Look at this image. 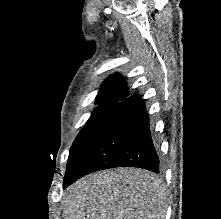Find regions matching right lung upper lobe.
I'll return each instance as SVG.
<instances>
[{"label": "right lung upper lobe", "mask_w": 221, "mask_h": 219, "mask_svg": "<svg viewBox=\"0 0 221 219\" xmlns=\"http://www.w3.org/2000/svg\"><path fill=\"white\" fill-rule=\"evenodd\" d=\"M127 86L121 75L114 74L107 79L100 89L96 102H117L120 103L128 97Z\"/></svg>", "instance_id": "right-lung-upper-lobe-1"}]
</instances>
